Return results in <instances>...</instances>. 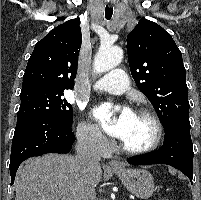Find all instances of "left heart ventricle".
<instances>
[{
    "label": "left heart ventricle",
    "instance_id": "obj_1",
    "mask_svg": "<svg viewBox=\"0 0 201 200\" xmlns=\"http://www.w3.org/2000/svg\"><path fill=\"white\" fill-rule=\"evenodd\" d=\"M155 137V126L152 121L142 115L133 113L121 139L130 148H142L149 145Z\"/></svg>",
    "mask_w": 201,
    "mask_h": 200
}]
</instances>
